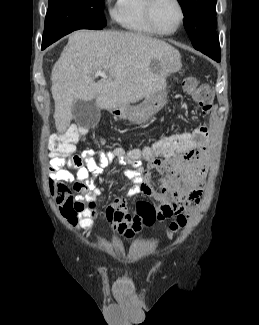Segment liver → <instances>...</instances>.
<instances>
[{"instance_id":"obj_1","label":"liver","mask_w":259,"mask_h":325,"mask_svg":"<svg viewBox=\"0 0 259 325\" xmlns=\"http://www.w3.org/2000/svg\"><path fill=\"white\" fill-rule=\"evenodd\" d=\"M181 67L177 49L142 33L76 31L51 73L56 129L67 130L77 100L95 99L100 109L136 103L161 91L163 75ZM98 70L110 77L95 82Z\"/></svg>"}]
</instances>
